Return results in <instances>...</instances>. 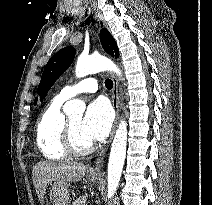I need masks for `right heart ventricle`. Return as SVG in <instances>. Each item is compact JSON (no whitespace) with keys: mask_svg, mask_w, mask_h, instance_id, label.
Here are the masks:
<instances>
[{"mask_svg":"<svg viewBox=\"0 0 212 205\" xmlns=\"http://www.w3.org/2000/svg\"><path fill=\"white\" fill-rule=\"evenodd\" d=\"M65 100L56 96L42 111L36 125V144L49 160H64L69 154L63 146V130L66 117L62 112Z\"/></svg>","mask_w":212,"mask_h":205,"instance_id":"1","label":"right heart ventricle"}]
</instances>
